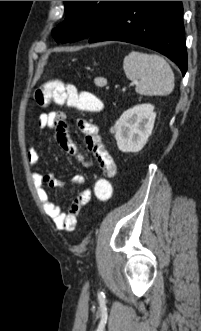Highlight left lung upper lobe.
I'll list each match as a JSON object with an SVG mask.
<instances>
[{
  "instance_id": "1",
  "label": "left lung upper lobe",
  "mask_w": 201,
  "mask_h": 331,
  "mask_svg": "<svg viewBox=\"0 0 201 331\" xmlns=\"http://www.w3.org/2000/svg\"><path fill=\"white\" fill-rule=\"evenodd\" d=\"M66 19L52 31L58 42L89 38L120 1H64Z\"/></svg>"
}]
</instances>
